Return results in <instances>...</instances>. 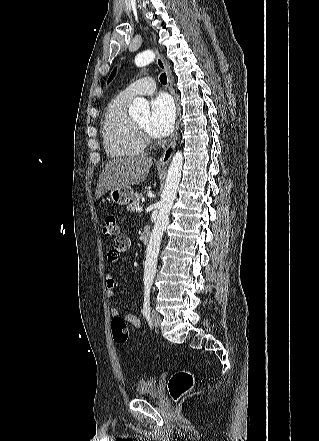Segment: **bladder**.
Listing matches in <instances>:
<instances>
[{"label": "bladder", "instance_id": "1", "mask_svg": "<svg viewBox=\"0 0 319 441\" xmlns=\"http://www.w3.org/2000/svg\"><path fill=\"white\" fill-rule=\"evenodd\" d=\"M137 397H154L158 394V383L155 378L141 381L135 389Z\"/></svg>", "mask_w": 319, "mask_h": 441}]
</instances>
